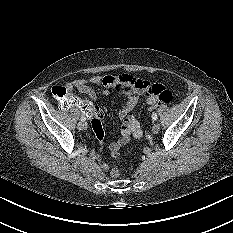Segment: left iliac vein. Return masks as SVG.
I'll list each match as a JSON object with an SVG mask.
<instances>
[{
  "instance_id": "left-iliac-vein-1",
  "label": "left iliac vein",
  "mask_w": 233,
  "mask_h": 233,
  "mask_svg": "<svg viewBox=\"0 0 233 233\" xmlns=\"http://www.w3.org/2000/svg\"><path fill=\"white\" fill-rule=\"evenodd\" d=\"M159 131H160V124L155 122L152 126V132L154 134H158Z\"/></svg>"
}]
</instances>
